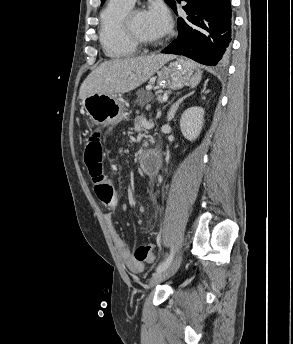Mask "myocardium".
I'll return each mask as SVG.
<instances>
[{
    "mask_svg": "<svg viewBox=\"0 0 293 344\" xmlns=\"http://www.w3.org/2000/svg\"><path fill=\"white\" fill-rule=\"evenodd\" d=\"M143 10L140 8H131L124 16L122 20V31L124 36L127 40H129L132 44H134L137 47L141 48H148L159 45L160 41H148L140 36H138L132 29V18L135 14L141 13Z\"/></svg>",
    "mask_w": 293,
    "mask_h": 344,
    "instance_id": "obj_1",
    "label": "myocardium"
}]
</instances>
